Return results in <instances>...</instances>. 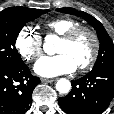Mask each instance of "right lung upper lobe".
Wrapping results in <instances>:
<instances>
[{
	"instance_id": "right-lung-upper-lobe-1",
	"label": "right lung upper lobe",
	"mask_w": 114,
	"mask_h": 114,
	"mask_svg": "<svg viewBox=\"0 0 114 114\" xmlns=\"http://www.w3.org/2000/svg\"><path fill=\"white\" fill-rule=\"evenodd\" d=\"M25 9H28V8H25V7H10V8H7L6 10H10V11H22V10H25Z\"/></svg>"
}]
</instances>
